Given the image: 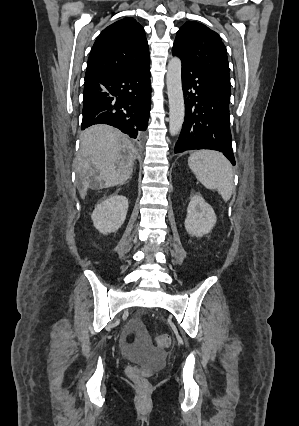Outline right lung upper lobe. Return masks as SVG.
Returning a JSON list of instances; mask_svg holds the SVG:
<instances>
[{"label":"right lung upper lobe","instance_id":"cb5924a9","mask_svg":"<svg viewBox=\"0 0 299 426\" xmlns=\"http://www.w3.org/2000/svg\"><path fill=\"white\" fill-rule=\"evenodd\" d=\"M149 63L143 27L133 18H124L106 27L96 39L85 79L138 69Z\"/></svg>","mask_w":299,"mask_h":426}]
</instances>
